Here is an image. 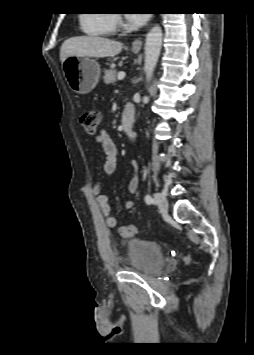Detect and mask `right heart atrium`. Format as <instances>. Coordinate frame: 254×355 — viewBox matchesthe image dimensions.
<instances>
[{
	"mask_svg": "<svg viewBox=\"0 0 254 355\" xmlns=\"http://www.w3.org/2000/svg\"><path fill=\"white\" fill-rule=\"evenodd\" d=\"M112 21L114 24V27L120 24V18L117 14L112 15Z\"/></svg>",
	"mask_w": 254,
	"mask_h": 355,
	"instance_id": "d8ad5b80",
	"label": "right heart atrium"
}]
</instances>
